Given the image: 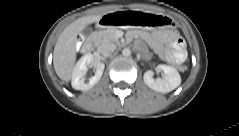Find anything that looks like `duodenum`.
Wrapping results in <instances>:
<instances>
[{
  "mask_svg": "<svg viewBox=\"0 0 239 136\" xmlns=\"http://www.w3.org/2000/svg\"><path fill=\"white\" fill-rule=\"evenodd\" d=\"M106 23L108 24L109 21H107ZM78 46L83 52L90 53L93 50L94 43L92 41H87V42L82 44V40H79L78 41Z\"/></svg>",
  "mask_w": 239,
  "mask_h": 136,
  "instance_id": "1",
  "label": "duodenum"
}]
</instances>
